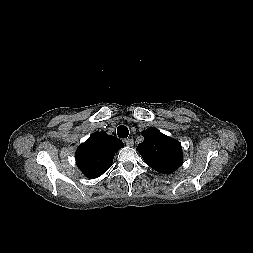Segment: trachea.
<instances>
[{
    "mask_svg": "<svg viewBox=\"0 0 253 253\" xmlns=\"http://www.w3.org/2000/svg\"><path fill=\"white\" fill-rule=\"evenodd\" d=\"M117 134H118V137L120 138H127L129 135V130L126 126L120 125L117 128Z\"/></svg>",
    "mask_w": 253,
    "mask_h": 253,
    "instance_id": "obj_1",
    "label": "trachea"
}]
</instances>
